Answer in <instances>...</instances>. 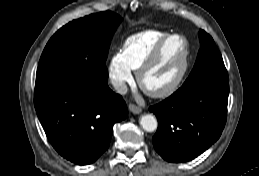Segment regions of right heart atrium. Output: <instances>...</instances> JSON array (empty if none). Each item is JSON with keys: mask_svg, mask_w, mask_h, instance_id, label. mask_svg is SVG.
Returning a JSON list of instances; mask_svg holds the SVG:
<instances>
[{"mask_svg": "<svg viewBox=\"0 0 259 176\" xmlns=\"http://www.w3.org/2000/svg\"><path fill=\"white\" fill-rule=\"evenodd\" d=\"M108 77L118 93H123L126 90L127 84L132 82V72L125 64L121 51L111 56L108 63Z\"/></svg>", "mask_w": 259, "mask_h": 176, "instance_id": "d8ad5b80", "label": "right heart atrium"}]
</instances>
